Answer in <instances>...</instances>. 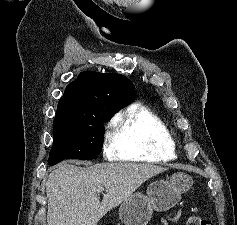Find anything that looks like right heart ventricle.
Listing matches in <instances>:
<instances>
[{"instance_id": "right-heart-ventricle-1", "label": "right heart ventricle", "mask_w": 237, "mask_h": 225, "mask_svg": "<svg viewBox=\"0 0 237 225\" xmlns=\"http://www.w3.org/2000/svg\"><path fill=\"white\" fill-rule=\"evenodd\" d=\"M113 159L158 163L175 158V141L164 121L144 106L135 105L113 121Z\"/></svg>"}]
</instances>
